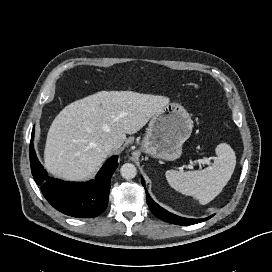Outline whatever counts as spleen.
I'll return each instance as SVG.
<instances>
[{"instance_id": "obj_1", "label": "spleen", "mask_w": 272, "mask_h": 272, "mask_svg": "<svg viewBox=\"0 0 272 272\" xmlns=\"http://www.w3.org/2000/svg\"><path fill=\"white\" fill-rule=\"evenodd\" d=\"M215 152L214 163L203 170L166 171L169 185L182 194L195 197L200 204L212 201L226 186L236 165L235 152L228 144H219Z\"/></svg>"}]
</instances>
